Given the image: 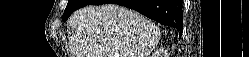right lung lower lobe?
Instances as JSON below:
<instances>
[{
  "label": "right lung lower lobe",
  "instance_id": "1",
  "mask_svg": "<svg viewBox=\"0 0 249 57\" xmlns=\"http://www.w3.org/2000/svg\"><path fill=\"white\" fill-rule=\"evenodd\" d=\"M115 3L138 11L162 25L182 31V0H92L89 5Z\"/></svg>",
  "mask_w": 249,
  "mask_h": 57
}]
</instances>
